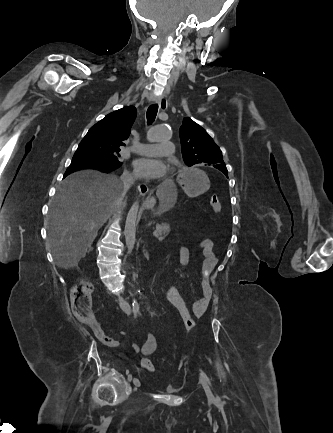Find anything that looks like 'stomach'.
<instances>
[{"instance_id": "1", "label": "stomach", "mask_w": 333, "mask_h": 433, "mask_svg": "<svg viewBox=\"0 0 333 433\" xmlns=\"http://www.w3.org/2000/svg\"><path fill=\"white\" fill-rule=\"evenodd\" d=\"M176 182L183 185L185 193L190 197L204 194L210 187L206 169H181L176 175ZM148 207H152V200L146 202Z\"/></svg>"}]
</instances>
